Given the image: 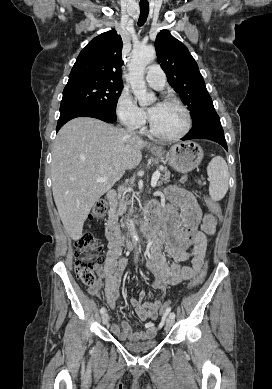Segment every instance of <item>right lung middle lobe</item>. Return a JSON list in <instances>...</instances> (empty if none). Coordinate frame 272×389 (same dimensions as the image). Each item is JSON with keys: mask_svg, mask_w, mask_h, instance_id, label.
<instances>
[{"mask_svg": "<svg viewBox=\"0 0 272 389\" xmlns=\"http://www.w3.org/2000/svg\"><path fill=\"white\" fill-rule=\"evenodd\" d=\"M122 89L123 84L105 81H79L69 83L63 90L61 103H87L116 114V104Z\"/></svg>", "mask_w": 272, "mask_h": 389, "instance_id": "obj_1", "label": "right lung middle lobe"}]
</instances>
